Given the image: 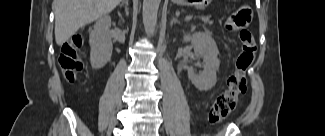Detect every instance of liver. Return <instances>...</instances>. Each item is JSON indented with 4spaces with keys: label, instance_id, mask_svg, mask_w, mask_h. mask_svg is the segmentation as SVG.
Listing matches in <instances>:
<instances>
[{
    "label": "liver",
    "instance_id": "liver-1",
    "mask_svg": "<svg viewBox=\"0 0 325 136\" xmlns=\"http://www.w3.org/2000/svg\"><path fill=\"white\" fill-rule=\"evenodd\" d=\"M122 0H54L55 40L62 45L80 28L111 12Z\"/></svg>",
    "mask_w": 325,
    "mask_h": 136
}]
</instances>
